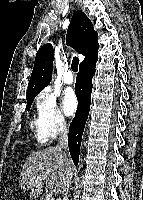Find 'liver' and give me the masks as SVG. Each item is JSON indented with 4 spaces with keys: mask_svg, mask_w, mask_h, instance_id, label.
Returning <instances> with one entry per match:
<instances>
[{
    "mask_svg": "<svg viewBox=\"0 0 143 200\" xmlns=\"http://www.w3.org/2000/svg\"><path fill=\"white\" fill-rule=\"evenodd\" d=\"M47 173L43 179V173ZM73 169L71 159L57 147H48L32 152L20 174L19 183L24 190H30L31 199L38 198L43 192V180L51 194H60L64 183L72 178Z\"/></svg>",
    "mask_w": 143,
    "mask_h": 200,
    "instance_id": "liver-1",
    "label": "liver"
}]
</instances>
